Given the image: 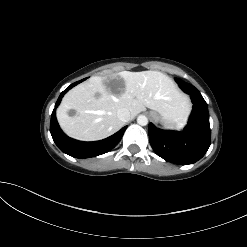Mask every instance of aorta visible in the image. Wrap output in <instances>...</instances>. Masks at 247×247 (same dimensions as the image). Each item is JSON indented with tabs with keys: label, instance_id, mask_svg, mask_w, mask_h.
Instances as JSON below:
<instances>
[{
	"label": "aorta",
	"instance_id": "obj_1",
	"mask_svg": "<svg viewBox=\"0 0 247 247\" xmlns=\"http://www.w3.org/2000/svg\"><path fill=\"white\" fill-rule=\"evenodd\" d=\"M137 123L141 126H146L148 124V118L144 115H139L137 118Z\"/></svg>",
	"mask_w": 247,
	"mask_h": 247
}]
</instances>
